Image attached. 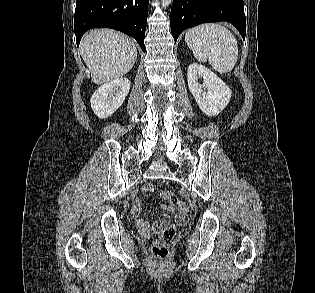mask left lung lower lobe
<instances>
[{
    "label": "left lung lower lobe",
    "instance_id": "left-lung-lower-lobe-1",
    "mask_svg": "<svg viewBox=\"0 0 315 293\" xmlns=\"http://www.w3.org/2000/svg\"><path fill=\"white\" fill-rule=\"evenodd\" d=\"M170 18L175 42L187 28L218 21L230 22L245 39L243 0H173Z\"/></svg>",
    "mask_w": 315,
    "mask_h": 293
}]
</instances>
